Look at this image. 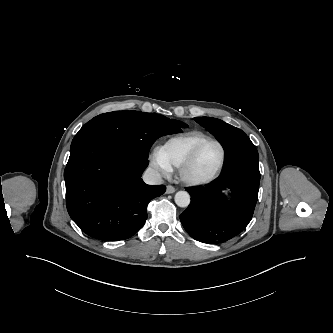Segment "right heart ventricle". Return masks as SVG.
Here are the masks:
<instances>
[{"instance_id":"obj_1","label":"right heart ventricle","mask_w":333,"mask_h":333,"mask_svg":"<svg viewBox=\"0 0 333 333\" xmlns=\"http://www.w3.org/2000/svg\"><path fill=\"white\" fill-rule=\"evenodd\" d=\"M209 136L201 131H189L167 139L159 151L164 160L172 167L179 168L194 147Z\"/></svg>"}]
</instances>
